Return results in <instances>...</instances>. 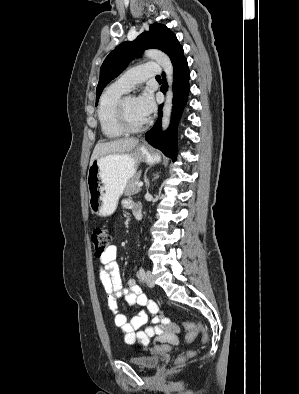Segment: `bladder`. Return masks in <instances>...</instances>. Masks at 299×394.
I'll return each instance as SVG.
<instances>
[{"label": "bladder", "instance_id": "31cf9c89", "mask_svg": "<svg viewBox=\"0 0 299 394\" xmlns=\"http://www.w3.org/2000/svg\"><path fill=\"white\" fill-rule=\"evenodd\" d=\"M127 361L131 365L150 370L155 368L160 363L161 357L155 355H137L130 356Z\"/></svg>", "mask_w": 299, "mask_h": 394}]
</instances>
